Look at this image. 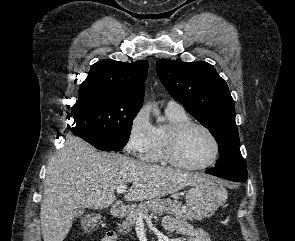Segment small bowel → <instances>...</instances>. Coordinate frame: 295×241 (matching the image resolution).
<instances>
[{
	"label": "small bowel",
	"mask_w": 295,
	"mask_h": 241,
	"mask_svg": "<svg viewBox=\"0 0 295 241\" xmlns=\"http://www.w3.org/2000/svg\"><path fill=\"white\" fill-rule=\"evenodd\" d=\"M163 228L174 236H181L188 241H211L210 236L202 229L194 228L192 225L173 216L163 219ZM101 241H116L112 232H108Z\"/></svg>",
	"instance_id": "small-bowel-1"
}]
</instances>
